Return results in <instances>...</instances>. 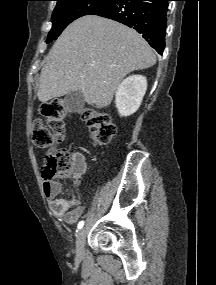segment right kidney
Wrapping results in <instances>:
<instances>
[{
  "mask_svg": "<svg viewBox=\"0 0 216 285\" xmlns=\"http://www.w3.org/2000/svg\"><path fill=\"white\" fill-rule=\"evenodd\" d=\"M146 89L147 79L142 75H132L122 81L115 97L120 116H130L138 110Z\"/></svg>",
  "mask_w": 216,
  "mask_h": 285,
  "instance_id": "1",
  "label": "right kidney"
}]
</instances>
